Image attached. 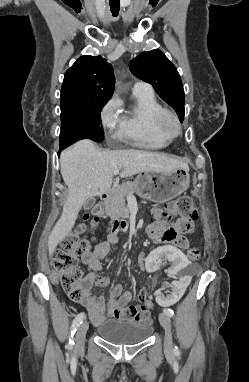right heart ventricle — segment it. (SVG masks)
I'll return each instance as SVG.
<instances>
[{"label": "right heart ventricle", "mask_w": 249, "mask_h": 382, "mask_svg": "<svg viewBox=\"0 0 249 382\" xmlns=\"http://www.w3.org/2000/svg\"><path fill=\"white\" fill-rule=\"evenodd\" d=\"M133 103L124 112L116 136L144 149H161L172 141L159 126L163 106L153 92L133 91Z\"/></svg>", "instance_id": "obj_1"}]
</instances>
